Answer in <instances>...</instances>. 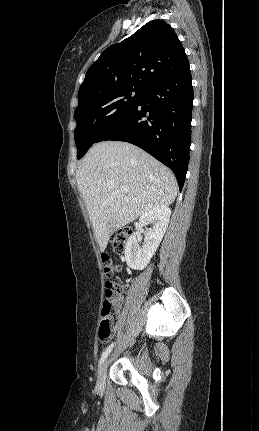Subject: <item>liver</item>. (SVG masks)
<instances>
[{"label": "liver", "instance_id": "6515ba94", "mask_svg": "<svg viewBox=\"0 0 259 431\" xmlns=\"http://www.w3.org/2000/svg\"><path fill=\"white\" fill-rule=\"evenodd\" d=\"M76 179L101 252L113 230L153 207L172 204L178 192L170 169L139 147L121 141L91 147ZM120 186L128 192L122 193Z\"/></svg>", "mask_w": 259, "mask_h": 431}]
</instances>
